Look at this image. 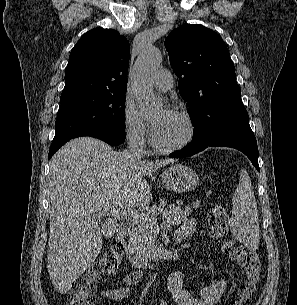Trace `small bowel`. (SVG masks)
<instances>
[{
    "mask_svg": "<svg viewBox=\"0 0 297 305\" xmlns=\"http://www.w3.org/2000/svg\"><path fill=\"white\" fill-rule=\"evenodd\" d=\"M195 228V221L190 218L182 223L178 232L185 231L188 235ZM187 235V236H188ZM141 277L140 272H132L123 278L127 285L136 283ZM167 288L171 293L172 300L176 305H215L223 297L227 282L224 279L216 280L210 284L200 287L197 291L191 292L185 288V274L181 270L174 271L167 278ZM101 297L105 300L120 301L127 299L129 305H134V296L129 287H111L101 292ZM160 305H168L163 301Z\"/></svg>",
    "mask_w": 297,
    "mask_h": 305,
    "instance_id": "obj_1",
    "label": "small bowel"
}]
</instances>
